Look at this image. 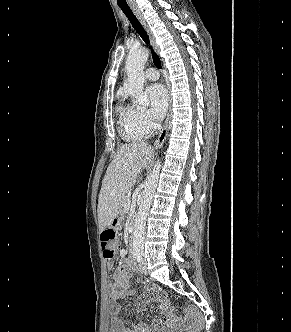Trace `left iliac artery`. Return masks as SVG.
Returning a JSON list of instances; mask_svg holds the SVG:
<instances>
[{"label": "left iliac artery", "instance_id": "left-iliac-artery-1", "mask_svg": "<svg viewBox=\"0 0 291 332\" xmlns=\"http://www.w3.org/2000/svg\"><path fill=\"white\" fill-rule=\"evenodd\" d=\"M135 259L137 260V262H141L142 261V256L140 255V254H137L136 256H135Z\"/></svg>", "mask_w": 291, "mask_h": 332}]
</instances>
